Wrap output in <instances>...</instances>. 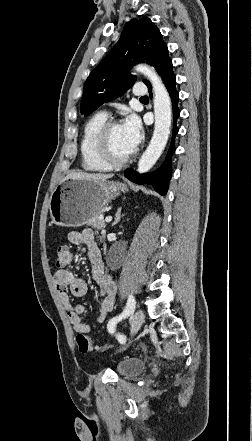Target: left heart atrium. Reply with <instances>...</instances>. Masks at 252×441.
Returning <instances> with one entry per match:
<instances>
[{"mask_svg": "<svg viewBox=\"0 0 252 441\" xmlns=\"http://www.w3.org/2000/svg\"><path fill=\"white\" fill-rule=\"evenodd\" d=\"M127 145L131 152H133L140 144L142 139V129L139 119L131 114L127 116L122 124Z\"/></svg>", "mask_w": 252, "mask_h": 441, "instance_id": "obj_1", "label": "left heart atrium"}]
</instances>
